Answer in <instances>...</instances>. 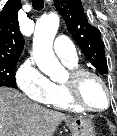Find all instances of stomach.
<instances>
[{
    "instance_id": "0dacf381",
    "label": "stomach",
    "mask_w": 117,
    "mask_h": 136,
    "mask_svg": "<svg viewBox=\"0 0 117 136\" xmlns=\"http://www.w3.org/2000/svg\"><path fill=\"white\" fill-rule=\"evenodd\" d=\"M72 136H95V128L88 118L77 117L66 120Z\"/></svg>"
}]
</instances>
